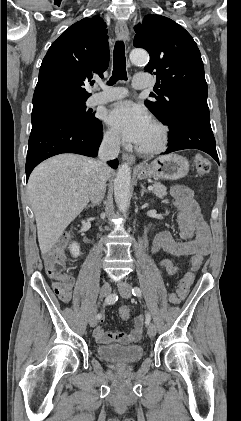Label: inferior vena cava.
<instances>
[{
	"label": "inferior vena cava",
	"instance_id": "1",
	"mask_svg": "<svg viewBox=\"0 0 241 421\" xmlns=\"http://www.w3.org/2000/svg\"><path fill=\"white\" fill-rule=\"evenodd\" d=\"M120 151V138L116 135L105 136L99 151L98 160L94 161V173L90 187V199L94 205L100 204L106 191V172L108 160L115 159Z\"/></svg>",
	"mask_w": 241,
	"mask_h": 421
}]
</instances>
